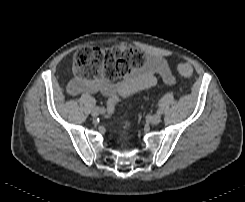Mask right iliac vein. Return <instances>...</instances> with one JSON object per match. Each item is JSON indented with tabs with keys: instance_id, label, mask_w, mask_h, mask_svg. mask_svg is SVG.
<instances>
[{
	"instance_id": "obj_1",
	"label": "right iliac vein",
	"mask_w": 245,
	"mask_h": 202,
	"mask_svg": "<svg viewBox=\"0 0 245 202\" xmlns=\"http://www.w3.org/2000/svg\"><path fill=\"white\" fill-rule=\"evenodd\" d=\"M102 110L100 109V108H94V109H92V111H91V115L93 116V117H97L99 114H102Z\"/></svg>"
}]
</instances>
